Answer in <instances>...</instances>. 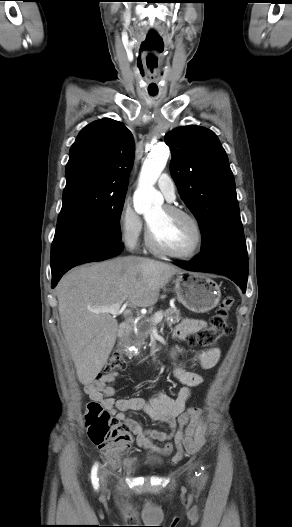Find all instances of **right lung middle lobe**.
<instances>
[{
  "label": "right lung middle lobe",
  "mask_w": 292,
  "mask_h": 527,
  "mask_svg": "<svg viewBox=\"0 0 292 527\" xmlns=\"http://www.w3.org/2000/svg\"><path fill=\"white\" fill-rule=\"evenodd\" d=\"M126 191L89 184L66 185L57 228L78 227L121 240L120 216Z\"/></svg>",
  "instance_id": "1"
}]
</instances>
